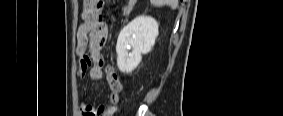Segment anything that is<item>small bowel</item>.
<instances>
[{"label": "small bowel", "mask_w": 283, "mask_h": 116, "mask_svg": "<svg viewBox=\"0 0 283 116\" xmlns=\"http://www.w3.org/2000/svg\"><path fill=\"white\" fill-rule=\"evenodd\" d=\"M102 0H88L84 3L82 22L77 30L76 54L79 57L78 76L87 75L91 80L102 79L104 58L102 49L106 43L108 29L103 16ZM82 113L85 116H110L108 105L95 107L91 103H83Z\"/></svg>", "instance_id": "c3829d8e"}]
</instances>
